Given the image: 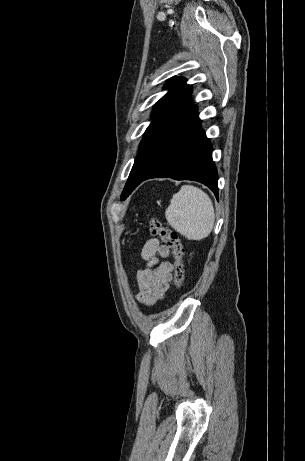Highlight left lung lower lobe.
<instances>
[{
  "label": "left lung lower lobe",
  "instance_id": "obj_1",
  "mask_svg": "<svg viewBox=\"0 0 305 461\" xmlns=\"http://www.w3.org/2000/svg\"><path fill=\"white\" fill-rule=\"evenodd\" d=\"M151 151V164L135 188L150 178L187 179L205 184L218 198L212 145L200 127L197 107L188 98L155 133Z\"/></svg>",
  "mask_w": 305,
  "mask_h": 461
}]
</instances>
